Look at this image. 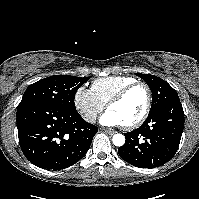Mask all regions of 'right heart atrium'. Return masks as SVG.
Wrapping results in <instances>:
<instances>
[{
    "label": "right heart atrium",
    "mask_w": 199,
    "mask_h": 199,
    "mask_svg": "<svg viewBox=\"0 0 199 199\" xmlns=\"http://www.w3.org/2000/svg\"><path fill=\"white\" fill-rule=\"evenodd\" d=\"M74 103L83 119L89 123H94L104 109V105L94 96L92 91L84 86L77 89Z\"/></svg>",
    "instance_id": "1"
}]
</instances>
